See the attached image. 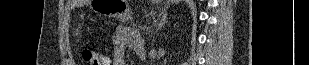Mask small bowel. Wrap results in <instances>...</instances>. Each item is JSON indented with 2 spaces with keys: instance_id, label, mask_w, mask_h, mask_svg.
<instances>
[{
  "instance_id": "small-bowel-1",
  "label": "small bowel",
  "mask_w": 309,
  "mask_h": 65,
  "mask_svg": "<svg viewBox=\"0 0 309 65\" xmlns=\"http://www.w3.org/2000/svg\"><path fill=\"white\" fill-rule=\"evenodd\" d=\"M140 46L143 47V43L136 28L119 27L113 37L112 57H106L104 65H126L124 62L125 50L128 48L135 51Z\"/></svg>"
}]
</instances>
